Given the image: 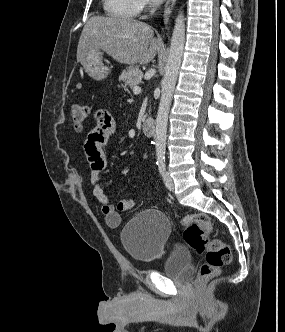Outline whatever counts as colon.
<instances>
[{
  "label": "colon",
  "instance_id": "obj_1",
  "mask_svg": "<svg viewBox=\"0 0 285 332\" xmlns=\"http://www.w3.org/2000/svg\"><path fill=\"white\" fill-rule=\"evenodd\" d=\"M89 116L86 105L76 104L71 109V120L77 130H81ZM183 236L189 247L196 253H205V262L198 273L199 279H207L216 274L231 261L230 247L220 239H211L212 222L203 213L186 216L182 220Z\"/></svg>",
  "mask_w": 285,
  "mask_h": 332
}]
</instances>
